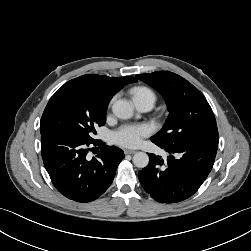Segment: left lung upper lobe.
<instances>
[{"mask_svg":"<svg viewBox=\"0 0 251 251\" xmlns=\"http://www.w3.org/2000/svg\"><path fill=\"white\" fill-rule=\"evenodd\" d=\"M136 77L162 95L169 111L165 125L151 137L152 141L165 147L199 139L218 141L212 109L204 95L190 82L169 71Z\"/></svg>","mask_w":251,"mask_h":251,"instance_id":"left-lung-upper-lobe-1","label":"left lung upper lobe"}]
</instances>
